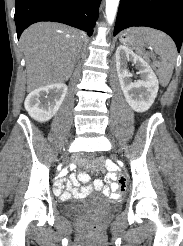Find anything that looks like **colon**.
<instances>
[{"label":"colon","mask_w":183,"mask_h":246,"mask_svg":"<svg viewBox=\"0 0 183 246\" xmlns=\"http://www.w3.org/2000/svg\"><path fill=\"white\" fill-rule=\"evenodd\" d=\"M94 155L92 152H88L87 155H82V160H94ZM93 225L88 224L87 229H92Z\"/></svg>","instance_id":"5ec220e1"}]
</instances>
